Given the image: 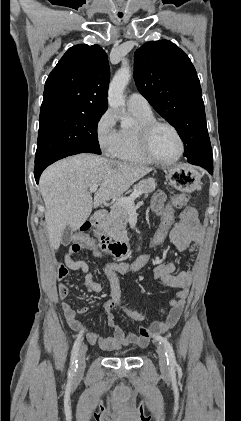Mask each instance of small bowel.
Here are the masks:
<instances>
[{"label":"small bowel","instance_id":"small-bowel-1","mask_svg":"<svg viewBox=\"0 0 241 421\" xmlns=\"http://www.w3.org/2000/svg\"><path fill=\"white\" fill-rule=\"evenodd\" d=\"M166 196L162 192L156 193L152 198V208L158 216H162L165 211ZM169 238L174 246L180 250L189 249L194 251L199 245L202 232L197 211L193 207H185L179 214L170 230ZM75 253L69 247L64 255V261L71 270H79L84 274V285L94 293L101 291V285L93 280V275L89 271V266L81 260H74ZM149 261V255H140L134 263L111 262L104 267V276L110 284V299L104 303V314L108 325L112 329L109 336H101L95 331H89L79 320L78 315L88 311L87 306L78 310L65 301L69 294V287L66 282H62L58 287V296L65 314L68 325L74 331H83L92 344H98L103 350H114L122 346H135L143 348L147 346L150 339L158 337L171 327L180 318L188 296L189 287L192 281L191 271L176 273L175 264L172 262H157L154 267L155 277L167 286L176 289V294L169 302L170 310L164 321L153 322L149 327L141 325L137 333L126 330L114 321L113 312L122 310L129 318L136 322H143L146 316L138 311L129 309L121 301V286L117 273L131 275L141 269ZM160 312H164L161 309Z\"/></svg>","mask_w":241,"mask_h":421}]
</instances>
